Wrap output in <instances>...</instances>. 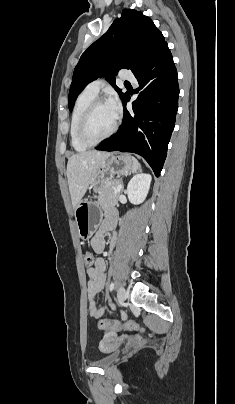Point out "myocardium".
Instances as JSON below:
<instances>
[{"label":"myocardium","mask_w":235,"mask_h":404,"mask_svg":"<svg viewBox=\"0 0 235 404\" xmlns=\"http://www.w3.org/2000/svg\"><path fill=\"white\" fill-rule=\"evenodd\" d=\"M106 103V101L102 98H96L94 99L86 108V110L84 111L80 122H79V127H78V136L79 139L86 145L88 146H95L105 140H107L108 138H110L118 129V125H119V117L116 116V119L114 121L113 126L111 127V129L102 137L98 138V139H92L89 134H88V126L90 123V120L92 118V115L95 111V109L101 105Z\"/></svg>","instance_id":"myocardium-1"}]
</instances>
